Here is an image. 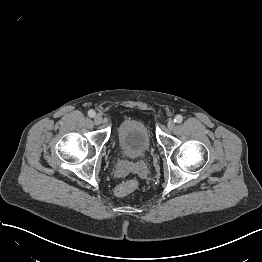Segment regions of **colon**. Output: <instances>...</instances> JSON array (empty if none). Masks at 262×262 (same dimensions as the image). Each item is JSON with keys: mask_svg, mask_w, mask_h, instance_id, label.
<instances>
[{"mask_svg": "<svg viewBox=\"0 0 262 262\" xmlns=\"http://www.w3.org/2000/svg\"><path fill=\"white\" fill-rule=\"evenodd\" d=\"M138 181L136 179L127 180L119 184L115 189V195L117 197H125L129 193L133 192L138 188Z\"/></svg>", "mask_w": 262, "mask_h": 262, "instance_id": "5ec220e1", "label": "colon"}]
</instances>
